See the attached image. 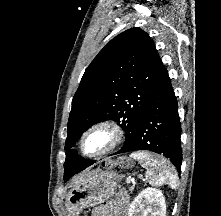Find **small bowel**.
<instances>
[{
    "instance_id": "c3829d8e",
    "label": "small bowel",
    "mask_w": 221,
    "mask_h": 216,
    "mask_svg": "<svg viewBox=\"0 0 221 216\" xmlns=\"http://www.w3.org/2000/svg\"><path fill=\"white\" fill-rule=\"evenodd\" d=\"M129 203L127 194L122 191L115 199L92 211L91 216H126V209Z\"/></svg>"
}]
</instances>
